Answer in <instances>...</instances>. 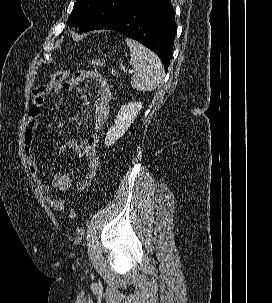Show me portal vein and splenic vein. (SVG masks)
I'll list each match as a JSON object with an SVG mask.
<instances>
[{"label":"portal vein and splenic vein","mask_w":272,"mask_h":303,"mask_svg":"<svg viewBox=\"0 0 272 303\" xmlns=\"http://www.w3.org/2000/svg\"><path fill=\"white\" fill-rule=\"evenodd\" d=\"M130 73H133V70H129Z\"/></svg>","instance_id":"obj_1"}]
</instances>
